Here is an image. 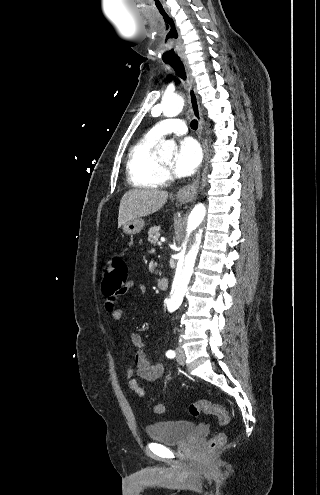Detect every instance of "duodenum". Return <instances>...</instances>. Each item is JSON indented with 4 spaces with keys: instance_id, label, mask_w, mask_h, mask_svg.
I'll return each instance as SVG.
<instances>
[{
    "instance_id": "410a0bca",
    "label": "duodenum",
    "mask_w": 320,
    "mask_h": 495,
    "mask_svg": "<svg viewBox=\"0 0 320 495\" xmlns=\"http://www.w3.org/2000/svg\"><path fill=\"white\" fill-rule=\"evenodd\" d=\"M157 286L160 290H166L169 286V281L167 278L162 277L158 280Z\"/></svg>"
}]
</instances>
